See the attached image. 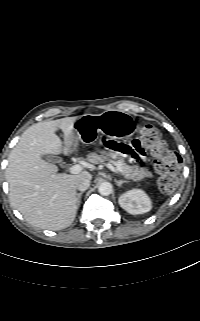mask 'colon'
I'll return each mask as SVG.
<instances>
[{"label":"colon","mask_w":200,"mask_h":321,"mask_svg":"<svg viewBox=\"0 0 200 321\" xmlns=\"http://www.w3.org/2000/svg\"><path fill=\"white\" fill-rule=\"evenodd\" d=\"M139 137L145 149L154 159V168L159 174V187L163 192L170 193L180 184V157L168 148L157 128L145 125L139 131Z\"/></svg>","instance_id":"1"}]
</instances>
